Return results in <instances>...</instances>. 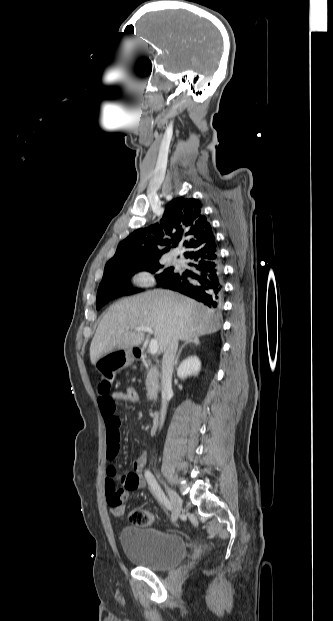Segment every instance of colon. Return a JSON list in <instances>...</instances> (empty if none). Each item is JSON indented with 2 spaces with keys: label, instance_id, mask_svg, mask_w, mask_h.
<instances>
[{
  "label": "colon",
  "instance_id": "1",
  "mask_svg": "<svg viewBox=\"0 0 333 621\" xmlns=\"http://www.w3.org/2000/svg\"><path fill=\"white\" fill-rule=\"evenodd\" d=\"M139 400L140 393L137 387L134 385L127 386V388L122 392V401L126 402L127 404L135 405L139 402ZM110 473L115 476V469L113 467L110 468ZM121 481L124 486L131 485V480L128 479L126 475L122 477ZM111 511L116 517H121L124 514V509L120 507H115ZM129 520L132 524L137 526H148L155 523L156 517L150 511L144 509H135L129 514Z\"/></svg>",
  "mask_w": 333,
  "mask_h": 621
}]
</instances>
